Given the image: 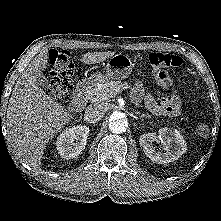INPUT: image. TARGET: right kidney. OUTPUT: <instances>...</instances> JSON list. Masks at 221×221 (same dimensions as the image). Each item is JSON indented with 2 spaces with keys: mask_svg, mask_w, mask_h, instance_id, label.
Here are the masks:
<instances>
[{
  "mask_svg": "<svg viewBox=\"0 0 221 221\" xmlns=\"http://www.w3.org/2000/svg\"><path fill=\"white\" fill-rule=\"evenodd\" d=\"M89 127L77 125L66 128L56 141V149L64 159L78 156L85 149L89 134Z\"/></svg>",
  "mask_w": 221,
  "mask_h": 221,
  "instance_id": "obj_1",
  "label": "right kidney"
}]
</instances>
